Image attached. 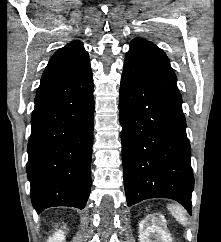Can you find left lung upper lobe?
Segmentation results:
<instances>
[{
  "label": "left lung upper lobe",
  "instance_id": "5c2ea615",
  "mask_svg": "<svg viewBox=\"0 0 221 242\" xmlns=\"http://www.w3.org/2000/svg\"><path fill=\"white\" fill-rule=\"evenodd\" d=\"M125 66L153 84L179 91L166 54L152 42L133 39L126 53Z\"/></svg>",
  "mask_w": 221,
  "mask_h": 242
}]
</instances>
